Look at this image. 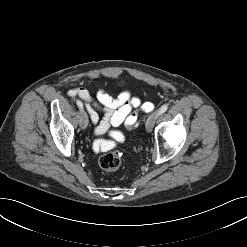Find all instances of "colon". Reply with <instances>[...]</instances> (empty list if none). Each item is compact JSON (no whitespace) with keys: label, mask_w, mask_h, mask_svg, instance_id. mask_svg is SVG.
Wrapping results in <instances>:
<instances>
[{"label":"colon","mask_w":247,"mask_h":247,"mask_svg":"<svg viewBox=\"0 0 247 247\" xmlns=\"http://www.w3.org/2000/svg\"><path fill=\"white\" fill-rule=\"evenodd\" d=\"M114 137L118 138L119 134L115 135ZM110 147H111V144L106 143L102 145L100 148L108 149ZM99 166L101 169L108 171V172L116 171L121 166V157L117 152L104 153L99 158Z\"/></svg>","instance_id":"5ec220e1"}]
</instances>
